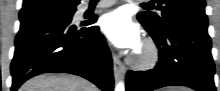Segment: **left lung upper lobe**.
<instances>
[{
	"instance_id": "5c2ea615",
	"label": "left lung upper lobe",
	"mask_w": 220,
	"mask_h": 91,
	"mask_svg": "<svg viewBox=\"0 0 220 91\" xmlns=\"http://www.w3.org/2000/svg\"><path fill=\"white\" fill-rule=\"evenodd\" d=\"M157 9L162 13L140 12L138 20L150 33L164 34L176 25L208 27L205 0H157Z\"/></svg>"
}]
</instances>
